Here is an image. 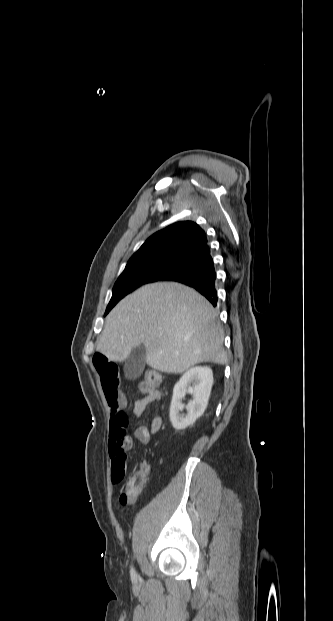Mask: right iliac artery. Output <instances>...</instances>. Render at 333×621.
<instances>
[{"label": "right iliac artery", "mask_w": 333, "mask_h": 621, "mask_svg": "<svg viewBox=\"0 0 333 621\" xmlns=\"http://www.w3.org/2000/svg\"><path fill=\"white\" fill-rule=\"evenodd\" d=\"M130 575H131V579H132L133 581H136V579H137V574H136V572H135V570H134V568H133V567H131V570H130Z\"/></svg>", "instance_id": "right-iliac-artery-1"}]
</instances>
